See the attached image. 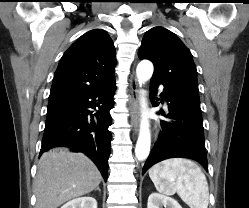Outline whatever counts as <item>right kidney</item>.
<instances>
[{
  "instance_id": "right-kidney-1",
  "label": "right kidney",
  "mask_w": 249,
  "mask_h": 208,
  "mask_svg": "<svg viewBox=\"0 0 249 208\" xmlns=\"http://www.w3.org/2000/svg\"><path fill=\"white\" fill-rule=\"evenodd\" d=\"M61 208H97V201L93 197H79L67 202Z\"/></svg>"
}]
</instances>
